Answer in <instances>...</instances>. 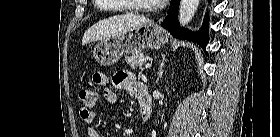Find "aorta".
Here are the masks:
<instances>
[{"label":"aorta","instance_id":"1","mask_svg":"<svg viewBox=\"0 0 280 137\" xmlns=\"http://www.w3.org/2000/svg\"><path fill=\"white\" fill-rule=\"evenodd\" d=\"M199 5V0H181L179 7L180 24L186 26L193 18Z\"/></svg>","mask_w":280,"mask_h":137}]
</instances>
